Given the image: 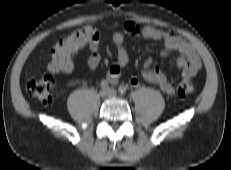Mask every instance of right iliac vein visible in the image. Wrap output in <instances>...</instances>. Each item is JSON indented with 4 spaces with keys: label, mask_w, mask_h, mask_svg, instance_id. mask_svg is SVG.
Returning <instances> with one entry per match:
<instances>
[{
    "label": "right iliac vein",
    "mask_w": 231,
    "mask_h": 170,
    "mask_svg": "<svg viewBox=\"0 0 231 170\" xmlns=\"http://www.w3.org/2000/svg\"><path fill=\"white\" fill-rule=\"evenodd\" d=\"M99 95L100 97L102 98H106L108 97V91L106 89H102L100 92H99Z\"/></svg>",
    "instance_id": "63e3f726"
}]
</instances>
